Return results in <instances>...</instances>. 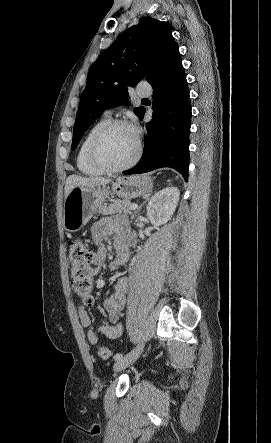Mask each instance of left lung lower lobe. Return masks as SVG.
Listing matches in <instances>:
<instances>
[{
	"label": "left lung lower lobe",
	"mask_w": 271,
	"mask_h": 443,
	"mask_svg": "<svg viewBox=\"0 0 271 443\" xmlns=\"http://www.w3.org/2000/svg\"><path fill=\"white\" fill-rule=\"evenodd\" d=\"M147 81L154 92L152 120L145 125L147 135L139 163L124 174L170 167L187 181L191 104L178 46L165 56ZM145 111L142 110L140 120Z\"/></svg>",
	"instance_id": "left-lung-lower-lobe-1"
}]
</instances>
